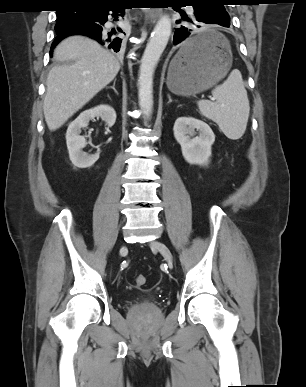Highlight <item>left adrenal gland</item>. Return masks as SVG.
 <instances>
[{"mask_svg":"<svg viewBox=\"0 0 306 387\" xmlns=\"http://www.w3.org/2000/svg\"><path fill=\"white\" fill-rule=\"evenodd\" d=\"M172 102L171 96L168 95V104Z\"/></svg>","mask_w":306,"mask_h":387,"instance_id":"a2214340","label":"left adrenal gland"}]
</instances>
